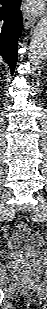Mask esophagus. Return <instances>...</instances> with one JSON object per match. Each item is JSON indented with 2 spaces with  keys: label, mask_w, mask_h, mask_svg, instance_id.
<instances>
[{
  "label": "esophagus",
  "mask_w": 47,
  "mask_h": 309,
  "mask_svg": "<svg viewBox=\"0 0 47 309\" xmlns=\"http://www.w3.org/2000/svg\"><path fill=\"white\" fill-rule=\"evenodd\" d=\"M36 19L34 16H32L30 13L28 12H24L23 14V22H24V27L26 29L30 28L31 26L34 25Z\"/></svg>",
  "instance_id": "esophagus-1"
}]
</instances>
